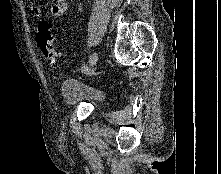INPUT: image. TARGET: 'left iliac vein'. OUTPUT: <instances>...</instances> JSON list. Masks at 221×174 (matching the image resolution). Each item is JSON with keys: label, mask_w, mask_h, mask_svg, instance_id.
<instances>
[{"label": "left iliac vein", "mask_w": 221, "mask_h": 174, "mask_svg": "<svg viewBox=\"0 0 221 174\" xmlns=\"http://www.w3.org/2000/svg\"><path fill=\"white\" fill-rule=\"evenodd\" d=\"M98 60V54L93 52L89 57V67H93Z\"/></svg>", "instance_id": "left-iliac-vein-1"}]
</instances>
